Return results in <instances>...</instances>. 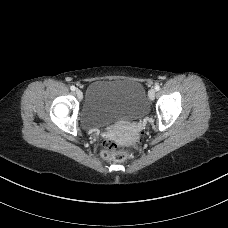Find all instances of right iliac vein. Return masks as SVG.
I'll list each match as a JSON object with an SVG mask.
<instances>
[{
	"mask_svg": "<svg viewBox=\"0 0 228 228\" xmlns=\"http://www.w3.org/2000/svg\"><path fill=\"white\" fill-rule=\"evenodd\" d=\"M76 95L79 99H82L83 94H82V91L80 89H76Z\"/></svg>",
	"mask_w": 228,
	"mask_h": 228,
	"instance_id": "1",
	"label": "right iliac vein"
}]
</instances>
